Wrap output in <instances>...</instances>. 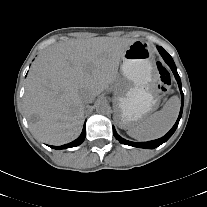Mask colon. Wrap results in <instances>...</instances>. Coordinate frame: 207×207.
<instances>
[{
  "instance_id": "colon-1",
  "label": "colon",
  "mask_w": 207,
  "mask_h": 207,
  "mask_svg": "<svg viewBox=\"0 0 207 207\" xmlns=\"http://www.w3.org/2000/svg\"><path fill=\"white\" fill-rule=\"evenodd\" d=\"M158 74L157 91L166 94L171 87L170 74L161 64H158Z\"/></svg>"
}]
</instances>
